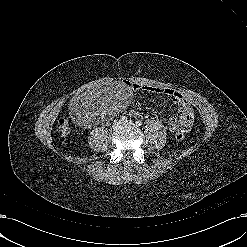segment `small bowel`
<instances>
[{"label": "small bowel", "mask_w": 247, "mask_h": 247, "mask_svg": "<svg viewBox=\"0 0 247 247\" xmlns=\"http://www.w3.org/2000/svg\"><path fill=\"white\" fill-rule=\"evenodd\" d=\"M137 88L142 91H150L155 93H163L170 97L174 105L177 107V116L166 119L171 130L175 131L183 129L189 131L192 128L194 113L191 105L186 97L180 92L158 85H137ZM154 118V116H152Z\"/></svg>", "instance_id": "small-bowel-1"}]
</instances>
